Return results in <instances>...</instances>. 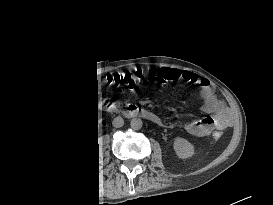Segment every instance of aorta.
<instances>
[{
    "instance_id": "1",
    "label": "aorta",
    "mask_w": 273,
    "mask_h": 205,
    "mask_svg": "<svg viewBox=\"0 0 273 205\" xmlns=\"http://www.w3.org/2000/svg\"><path fill=\"white\" fill-rule=\"evenodd\" d=\"M130 125L133 130H140L143 126V122L140 118H133Z\"/></svg>"
}]
</instances>
